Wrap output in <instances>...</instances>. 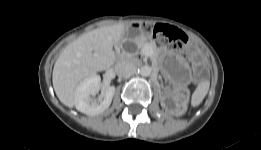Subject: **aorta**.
<instances>
[{
  "label": "aorta",
  "mask_w": 261,
  "mask_h": 150,
  "mask_svg": "<svg viewBox=\"0 0 261 150\" xmlns=\"http://www.w3.org/2000/svg\"><path fill=\"white\" fill-rule=\"evenodd\" d=\"M139 72H140L141 76L147 77V76L151 75L152 68L150 66L145 65L140 68Z\"/></svg>",
  "instance_id": "obj_1"
}]
</instances>
